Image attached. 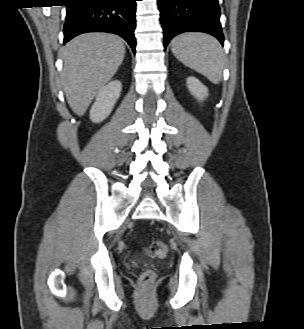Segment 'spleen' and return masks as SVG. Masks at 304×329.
Returning a JSON list of instances; mask_svg holds the SVG:
<instances>
[{"mask_svg": "<svg viewBox=\"0 0 304 329\" xmlns=\"http://www.w3.org/2000/svg\"><path fill=\"white\" fill-rule=\"evenodd\" d=\"M171 51L181 63L212 83L221 81L224 53L214 37L205 33H183L173 39Z\"/></svg>", "mask_w": 304, "mask_h": 329, "instance_id": "obj_1", "label": "spleen"}]
</instances>
